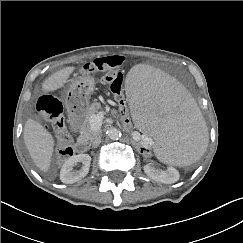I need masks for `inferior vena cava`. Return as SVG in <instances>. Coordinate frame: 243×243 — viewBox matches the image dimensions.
Instances as JSON below:
<instances>
[{"instance_id":"inferior-vena-cava-1","label":"inferior vena cava","mask_w":243,"mask_h":243,"mask_svg":"<svg viewBox=\"0 0 243 243\" xmlns=\"http://www.w3.org/2000/svg\"><path fill=\"white\" fill-rule=\"evenodd\" d=\"M101 143V136L100 135H96L92 140H91V144L93 148H96L99 144Z\"/></svg>"}]
</instances>
